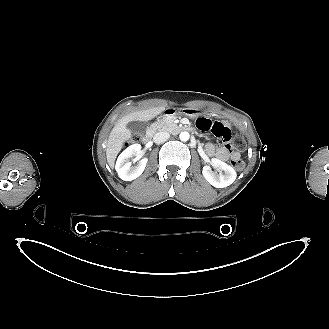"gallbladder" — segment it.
Wrapping results in <instances>:
<instances>
[{"label": "gallbladder", "mask_w": 329, "mask_h": 329, "mask_svg": "<svg viewBox=\"0 0 329 329\" xmlns=\"http://www.w3.org/2000/svg\"><path fill=\"white\" fill-rule=\"evenodd\" d=\"M149 127L148 122L145 121H130L127 124V128L134 134L144 135L147 128Z\"/></svg>", "instance_id": "1"}]
</instances>
